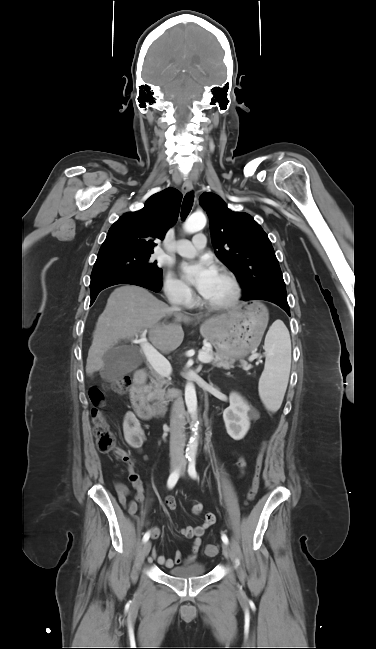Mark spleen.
I'll use <instances>...</instances> for the list:
<instances>
[{
  "label": "spleen",
  "instance_id": "spleen-1",
  "mask_svg": "<svg viewBox=\"0 0 376 649\" xmlns=\"http://www.w3.org/2000/svg\"><path fill=\"white\" fill-rule=\"evenodd\" d=\"M264 350L265 367L259 380L258 390L265 407L275 412L282 404L291 366L290 335L281 321L275 322L269 328Z\"/></svg>",
  "mask_w": 376,
  "mask_h": 649
}]
</instances>
